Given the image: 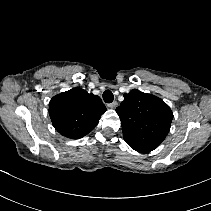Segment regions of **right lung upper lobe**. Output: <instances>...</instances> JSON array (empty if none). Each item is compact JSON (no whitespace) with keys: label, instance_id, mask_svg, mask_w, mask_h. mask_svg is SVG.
<instances>
[{"label":"right lung upper lobe","instance_id":"1","mask_svg":"<svg viewBox=\"0 0 211 211\" xmlns=\"http://www.w3.org/2000/svg\"><path fill=\"white\" fill-rule=\"evenodd\" d=\"M105 111L99 96L81 88L60 93L49 102V115L54 128L71 139H79L93 130Z\"/></svg>","mask_w":211,"mask_h":211}]
</instances>
